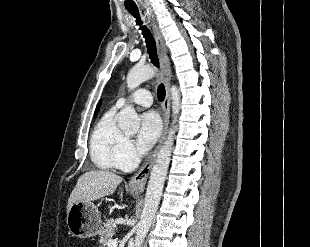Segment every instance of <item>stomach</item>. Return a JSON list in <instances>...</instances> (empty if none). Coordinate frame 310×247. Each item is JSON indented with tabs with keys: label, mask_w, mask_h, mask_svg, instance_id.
Masks as SVG:
<instances>
[{
	"label": "stomach",
	"mask_w": 310,
	"mask_h": 247,
	"mask_svg": "<svg viewBox=\"0 0 310 247\" xmlns=\"http://www.w3.org/2000/svg\"><path fill=\"white\" fill-rule=\"evenodd\" d=\"M133 195H136L131 191ZM70 234L79 238L96 236L102 230V220L97 206L92 202L74 203L66 217Z\"/></svg>",
	"instance_id": "obj_1"
}]
</instances>
